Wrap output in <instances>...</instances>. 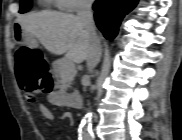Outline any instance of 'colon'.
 Returning <instances> with one entry per match:
<instances>
[{
    "instance_id": "5ec220e1",
    "label": "colon",
    "mask_w": 182,
    "mask_h": 140,
    "mask_svg": "<svg viewBox=\"0 0 182 140\" xmlns=\"http://www.w3.org/2000/svg\"><path fill=\"white\" fill-rule=\"evenodd\" d=\"M16 74L27 101L34 102L38 93L45 92L49 85L50 74L42 52L26 46L15 51Z\"/></svg>"
}]
</instances>
